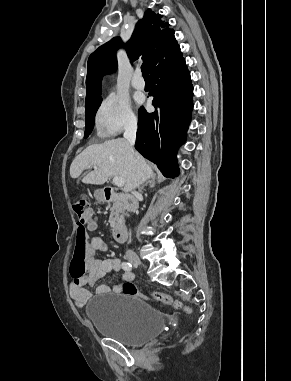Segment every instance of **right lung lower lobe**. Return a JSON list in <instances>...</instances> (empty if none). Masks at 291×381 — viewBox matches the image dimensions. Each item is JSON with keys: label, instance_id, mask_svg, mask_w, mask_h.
<instances>
[{"label": "right lung lower lobe", "instance_id": "1", "mask_svg": "<svg viewBox=\"0 0 291 381\" xmlns=\"http://www.w3.org/2000/svg\"><path fill=\"white\" fill-rule=\"evenodd\" d=\"M154 113L139 109L135 148L166 177L177 176L176 152L185 141L193 107L190 73L180 50L151 73Z\"/></svg>", "mask_w": 291, "mask_h": 381}]
</instances>
